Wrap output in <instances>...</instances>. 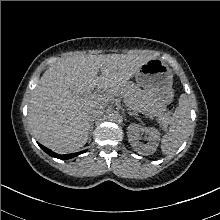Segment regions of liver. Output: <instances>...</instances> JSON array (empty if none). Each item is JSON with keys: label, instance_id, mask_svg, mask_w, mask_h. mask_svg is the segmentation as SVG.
Wrapping results in <instances>:
<instances>
[{"label": "liver", "instance_id": "obj_1", "mask_svg": "<svg viewBox=\"0 0 220 220\" xmlns=\"http://www.w3.org/2000/svg\"><path fill=\"white\" fill-rule=\"evenodd\" d=\"M150 59L137 54H81L51 65L29 101V124L35 138L59 153L82 148L90 131V112L120 95ZM95 87L98 93L91 96Z\"/></svg>", "mask_w": 220, "mask_h": 220}]
</instances>
